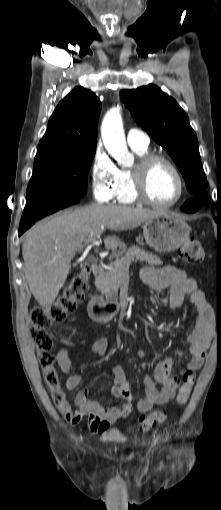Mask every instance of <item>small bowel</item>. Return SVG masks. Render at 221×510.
Instances as JSON below:
<instances>
[{"mask_svg":"<svg viewBox=\"0 0 221 510\" xmlns=\"http://www.w3.org/2000/svg\"><path fill=\"white\" fill-rule=\"evenodd\" d=\"M141 277L147 289L169 291L170 307L172 309L180 307L186 296L190 297L191 302L197 309V314L193 328L187 336L190 358L182 367L181 374L183 375L186 371L195 372L199 370L204 363L210 342L214 336L215 322L213 310L207 303L197 280L185 271L173 266L146 267L142 270ZM78 343L82 344L83 342L78 341ZM108 346L107 339H99L91 345V350L95 354L105 355ZM145 354V350H140L136 357H143ZM134 360L135 357L130 358V363H133ZM56 361L61 371L68 375L64 381V386L67 389L77 388L81 384L82 377L75 371L69 358L68 345H64L59 349ZM173 365L174 360L166 358L158 362L153 370L145 376L144 396L136 404L139 413L145 414L154 405H163L174 397L179 385V378L172 375ZM112 373L114 381L110 389L111 395L122 396L123 391H128V396L124 398H131L130 386L122 368L115 365L112 368ZM75 404L78 407L76 410L65 399L58 409L71 425H77L84 416H87L88 428L91 432L97 434L104 433L109 424L124 417L125 410H127V415L133 410L131 403L107 408L100 402L90 398L88 388H83L77 393Z\"/></svg>","mask_w":221,"mask_h":510,"instance_id":"small-bowel-1","label":"small bowel"}]
</instances>
